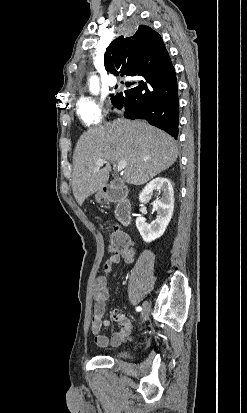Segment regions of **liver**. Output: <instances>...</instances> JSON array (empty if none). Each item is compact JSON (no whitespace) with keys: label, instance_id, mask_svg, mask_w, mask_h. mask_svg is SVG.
I'll return each mask as SVG.
<instances>
[{"label":"liver","instance_id":"6515ba94","mask_svg":"<svg viewBox=\"0 0 247 413\" xmlns=\"http://www.w3.org/2000/svg\"><path fill=\"white\" fill-rule=\"evenodd\" d=\"M174 138L146 120L116 118L88 128L77 140L73 154L72 188L81 204L87 196L102 190L111 170V160H127L124 178L130 184H145L169 168L177 158ZM98 158L109 160L96 166Z\"/></svg>","mask_w":247,"mask_h":413}]
</instances>
